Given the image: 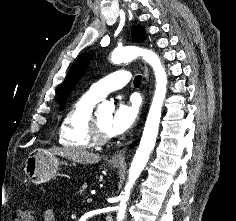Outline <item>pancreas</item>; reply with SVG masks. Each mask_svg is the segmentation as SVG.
Listing matches in <instances>:
<instances>
[{
	"instance_id": "pancreas-1",
	"label": "pancreas",
	"mask_w": 236,
	"mask_h": 221,
	"mask_svg": "<svg viewBox=\"0 0 236 221\" xmlns=\"http://www.w3.org/2000/svg\"><path fill=\"white\" fill-rule=\"evenodd\" d=\"M84 191H85V189H84V187H82L81 189H79V190L77 191V193L80 194V195H82V194L84 193Z\"/></svg>"
}]
</instances>
